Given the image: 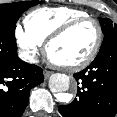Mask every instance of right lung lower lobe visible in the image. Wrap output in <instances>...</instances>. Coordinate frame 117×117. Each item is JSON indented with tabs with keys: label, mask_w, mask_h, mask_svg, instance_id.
Wrapping results in <instances>:
<instances>
[{
	"label": "right lung lower lobe",
	"mask_w": 117,
	"mask_h": 117,
	"mask_svg": "<svg viewBox=\"0 0 117 117\" xmlns=\"http://www.w3.org/2000/svg\"><path fill=\"white\" fill-rule=\"evenodd\" d=\"M43 80L39 66L18 58L15 34L0 30V117H21L30 90Z\"/></svg>",
	"instance_id": "right-lung-lower-lobe-1"
}]
</instances>
